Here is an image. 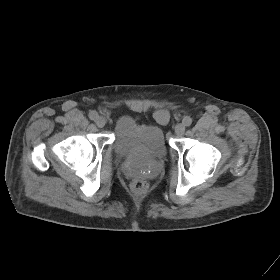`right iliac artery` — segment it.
Here are the masks:
<instances>
[{
    "label": "right iliac artery",
    "mask_w": 280,
    "mask_h": 280,
    "mask_svg": "<svg viewBox=\"0 0 280 280\" xmlns=\"http://www.w3.org/2000/svg\"><path fill=\"white\" fill-rule=\"evenodd\" d=\"M98 117H99V116H98V113H97L96 111H91V112L89 113V118H90L91 120H96Z\"/></svg>",
    "instance_id": "1"
}]
</instances>
